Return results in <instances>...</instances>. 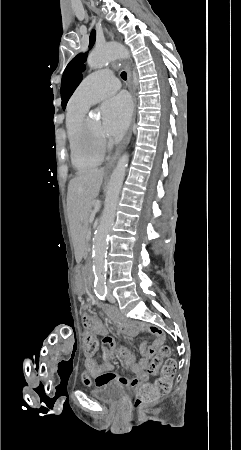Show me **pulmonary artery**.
<instances>
[{
  "label": "pulmonary artery",
  "mask_w": 241,
  "mask_h": 450,
  "mask_svg": "<svg viewBox=\"0 0 241 450\" xmlns=\"http://www.w3.org/2000/svg\"><path fill=\"white\" fill-rule=\"evenodd\" d=\"M109 77V69L94 71L83 80L82 83L85 86L75 91L72 101L82 102L90 106L111 97L117 91L120 80Z\"/></svg>",
  "instance_id": "1"
}]
</instances>
